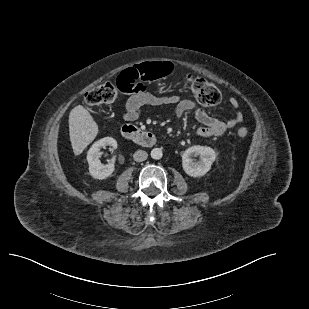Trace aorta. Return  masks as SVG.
<instances>
[{
	"instance_id": "obj_1",
	"label": "aorta",
	"mask_w": 309,
	"mask_h": 309,
	"mask_svg": "<svg viewBox=\"0 0 309 309\" xmlns=\"http://www.w3.org/2000/svg\"><path fill=\"white\" fill-rule=\"evenodd\" d=\"M163 156L162 149L160 148H153L151 150V157L155 160L161 159Z\"/></svg>"
}]
</instances>
